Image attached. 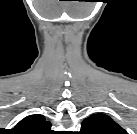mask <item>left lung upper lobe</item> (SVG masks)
<instances>
[{
	"label": "left lung upper lobe",
	"instance_id": "obj_1",
	"mask_svg": "<svg viewBox=\"0 0 137 134\" xmlns=\"http://www.w3.org/2000/svg\"><path fill=\"white\" fill-rule=\"evenodd\" d=\"M81 134H127L109 116L97 113L86 118L81 125Z\"/></svg>",
	"mask_w": 137,
	"mask_h": 134
}]
</instances>
